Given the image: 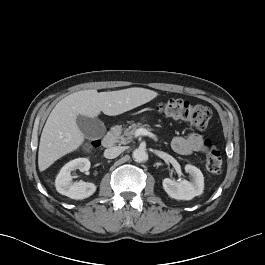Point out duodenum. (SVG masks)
<instances>
[{
    "instance_id": "duodenum-1",
    "label": "duodenum",
    "mask_w": 265,
    "mask_h": 265,
    "mask_svg": "<svg viewBox=\"0 0 265 265\" xmlns=\"http://www.w3.org/2000/svg\"><path fill=\"white\" fill-rule=\"evenodd\" d=\"M118 134H119V130L117 127H112L110 132L105 135V137L103 138L102 140V145L105 147V148H110L112 147L117 138H118Z\"/></svg>"
}]
</instances>
